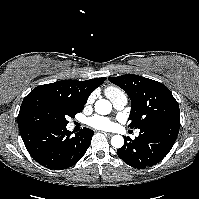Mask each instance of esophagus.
<instances>
[{
	"label": "esophagus",
	"mask_w": 199,
	"mask_h": 199,
	"mask_svg": "<svg viewBox=\"0 0 199 199\" xmlns=\"http://www.w3.org/2000/svg\"><path fill=\"white\" fill-rule=\"evenodd\" d=\"M107 137H112L113 136V134H111V133H104Z\"/></svg>",
	"instance_id": "1"
}]
</instances>
